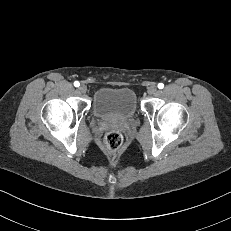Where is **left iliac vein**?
<instances>
[{"label":"left iliac vein","mask_w":231,"mask_h":231,"mask_svg":"<svg viewBox=\"0 0 231 231\" xmlns=\"http://www.w3.org/2000/svg\"><path fill=\"white\" fill-rule=\"evenodd\" d=\"M157 91H158V89H157L156 85H151L147 90L148 94H150V95L156 94Z\"/></svg>","instance_id":"4c4485c4"}]
</instances>
